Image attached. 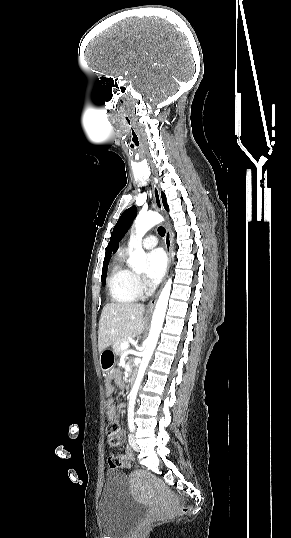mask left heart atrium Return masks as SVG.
<instances>
[{
  "label": "left heart atrium",
  "mask_w": 291,
  "mask_h": 538,
  "mask_svg": "<svg viewBox=\"0 0 291 538\" xmlns=\"http://www.w3.org/2000/svg\"><path fill=\"white\" fill-rule=\"evenodd\" d=\"M166 264V256L161 249H154L149 252L147 257V268L144 275L147 284L152 285L162 278L166 269Z\"/></svg>",
  "instance_id": "obj_1"
}]
</instances>
